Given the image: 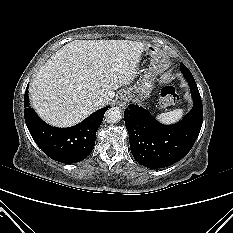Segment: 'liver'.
Returning <instances> with one entry per match:
<instances>
[{
	"instance_id": "6515ba94",
	"label": "liver",
	"mask_w": 233,
	"mask_h": 233,
	"mask_svg": "<svg viewBox=\"0 0 233 233\" xmlns=\"http://www.w3.org/2000/svg\"><path fill=\"white\" fill-rule=\"evenodd\" d=\"M147 47L129 40H75L64 45L31 82L33 108L50 125L78 124L96 110V97L108 104L114 90L135 79Z\"/></svg>"
}]
</instances>
